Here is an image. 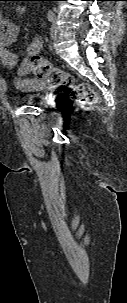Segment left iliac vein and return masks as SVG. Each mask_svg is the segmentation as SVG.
<instances>
[{"label": "left iliac vein", "instance_id": "left-iliac-vein-1", "mask_svg": "<svg viewBox=\"0 0 127 303\" xmlns=\"http://www.w3.org/2000/svg\"><path fill=\"white\" fill-rule=\"evenodd\" d=\"M56 35H57V24H56V22L54 21V22L52 23V25H51V28H50V36H51L52 38H55Z\"/></svg>", "mask_w": 127, "mask_h": 303}]
</instances>
